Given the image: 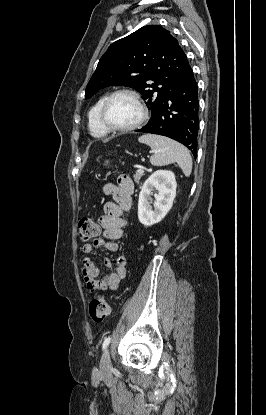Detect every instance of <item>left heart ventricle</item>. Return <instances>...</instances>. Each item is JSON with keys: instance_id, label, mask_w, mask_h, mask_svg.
Segmentation results:
<instances>
[{"instance_id": "1", "label": "left heart ventricle", "mask_w": 266, "mask_h": 415, "mask_svg": "<svg viewBox=\"0 0 266 415\" xmlns=\"http://www.w3.org/2000/svg\"><path fill=\"white\" fill-rule=\"evenodd\" d=\"M140 108L128 95H118L109 104L107 118L116 127H128L140 117Z\"/></svg>"}]
</instances>
